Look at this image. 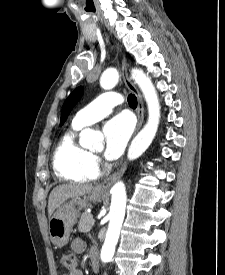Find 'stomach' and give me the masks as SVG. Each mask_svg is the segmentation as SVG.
I'll return each instance as SVG.
<instances>
[{"label": "stomach", "instance_id": "stomach-1", "mask_svg": "<svg viewBox=\"0 0 225 275\" xmlns=\"http://www.w3.org/2000/svg\"><path fill=\"white\" fill-rule=\"evenodd\" d=\"M104 194V191L95 188L87 197L72 198L70 201L59 206L49 220V234L53 244L58 247L65 246L77 222L80 209L86 207L89 201H99Z\"/></svg>", "mask_w": 225, "mask_h": 275}]
</instances>
